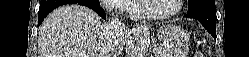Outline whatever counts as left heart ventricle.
<instances>
[{
	"instance_id": "left-heart-ventricle-1",
	"label": "left heart ventricle",
	"mask_w": 249,
	"mask_h": 57,
	"mask_svg": "<svg viewBox=\"0 0 249 57\" xmlns=\"http://www.w3.org/2000/svg\"><path fill=\"white\" fill-rule=\"evenodd\" d=\"M177 6L176 0H149V11L154 14H166L172 12Z\"/></svg>"
}]
</instances>
